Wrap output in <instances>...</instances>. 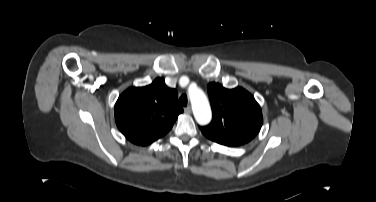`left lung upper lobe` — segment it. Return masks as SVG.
Listing matches in <instances>:
<instances>
[{
	"instance_id": "1",
	"label": "left lung upper lobe",
	"mask_w": 376,
	"mask_h": 202,
	"mask_svg": "<svg viewBox=\"0 0 376 202\" xmlns=\"http://www.w3.org/2000/svg\"><path fill=\"white\" fill-rule=\"evenodd\" d=\"M213 118L200 127L225 142L245 144L260 131L263 117L254 97L241 87L226 89L212 82L207 86Z\"/></svg>"
}]
</instances>
